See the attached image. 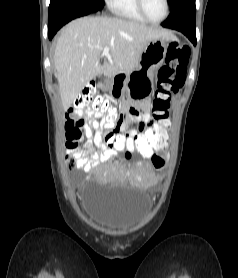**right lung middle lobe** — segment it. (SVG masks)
Here are the masks:
<instances>
[{
  "instance_id": "right-lung-middle-lobe-1",
  "label": "right lung middle lobe",
  "mask_w": 238,
  "mask_h": 278,
  "mask_svg": "<svg viewBox=\"0 0 238 278\" xmlns=\"http://www.w3.org/2000/svg\"><path fill=\"white\" fill-rule=\"evenodd\" d=\"M84 2H87L95 7L103 8L104 2L103 0H82Z\"/></svg>"
}]
</instances>
